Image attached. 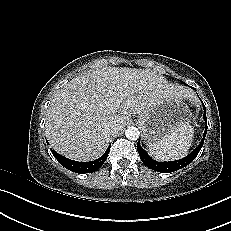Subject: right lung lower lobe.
<instances>
[{
	"label": "right lung lower lobe",
	"mask_w": 231,
	"mask_h": 231,
	"mask_svg": "<svg viewBox=\"0 0 231 231\" xmlns=\"http://www.w3.org/2000/svg\"><path fill=\"white\" fill-rule=\"evenodd\" d=\"M109 151H110V146L108 147L106 152L100 158H98L94 161H90V162L74 161V160L68 159L66 157H63L62 155L56 153L54 150H52V154L57 159V161L62 166L67 168L68 170H70L72 172L84 174V173H90V172H94V171L98 170L103 165V163L106 161L107 156L109 154Z\"/></svg>",
	"instance_id": "1"
}]
</instances>
